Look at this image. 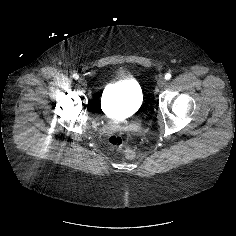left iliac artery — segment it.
Returning a JSON list of instances; mask_svg holds the SVG:
<instances>
[{
  "instance_id": "left-iliac-artery-1",
  "label": "left iliac artery",
  "mask_w": 236,
  "mask_h": 236,
  "mask_svg": "<svg viewBox=\"0 0 236 236\" xmlns=\"http://www.w3.org/2000/svg\"><path fill=\"white\" fill-rule=\"evenodd\" d=\"M170 78H171V74H170V73H166V74H165V79H166V80H169Z\"/></svg>"
}]
</instances>
